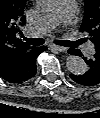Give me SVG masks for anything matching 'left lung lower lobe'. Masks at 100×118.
I'll return each instance as SVG.
<instances>
[{
    "label": "left lung lower lobe",
    "instance_id": "1",
    "mask_svg": "<svg viewBox=\"0 0 100 118\" xmlns=\"http://www.w3.org/2000/svg\"><path fill=\"white\" fill-rule=\"evenodd\" d=\"M70 54L82 55L75 49L69 50ZM88 65V71L82 75L71 74L70 77L73 81L84 86H93L100 83V53H95L90 59H85Z\"/></svg>",
    "mask_w": 100,
    "mask_h": 118
}]
</instances>
